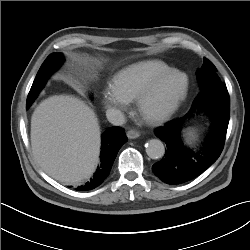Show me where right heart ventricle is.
Listing matches in <instances>:
<instances>
[{"mask_svg": "<svg viewBox=\"0 0 250 250\" xmlns=\"http://www.w3.org/2000/svg\"><path fill=\"white\" fill-rule=\"evenodd\" d=\"M171 69L170 65L158 59L139 61L116 72L111 85L128 99L134 100L154 78Z\"/></svg>", "mask_w": 250, "mask_h": 250, "instance_id": "e07e8e85", "label": "right heart ventricle"}]
</instances>
